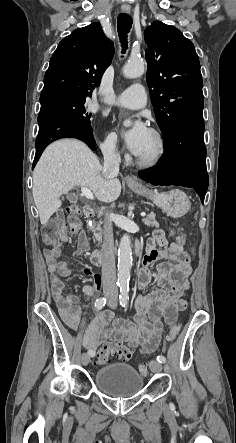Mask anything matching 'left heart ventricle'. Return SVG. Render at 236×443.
<instances>
[{"label":"left heart ventricle","instance_id":"1","mask_svg":"<svg viewBox=\"0 0 236 443\" xmlns=\"http://www.w3.org/2000/svg\"><path fill=\"white\" fill-rule=\"evenodd\" d=\"M156 140L154 136L149 132L148 136L144 142V145L138 154L139 156H148L155 152L156 150Z\"/></svg>","mask_w":236,"mask_h":443}]
</instances>
